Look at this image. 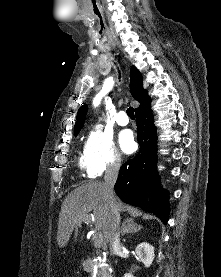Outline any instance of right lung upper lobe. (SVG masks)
<instances>
[{
	"mask_svg": "<svg viewBox=\"0 0 221 277\" xmlns=\"http://www.w3.org/2000/svg\"><path fill=\"white\" fill-rule=\"evenodd\" d=\"M130 92L132 96L140 103V106L147 101L150 97L148 96L147 90L143 88L142 76L135 66L131 67L130 72ZM137 109V108H136ZM135 109V110H136ZM87 113V105H83L79 108L77 113V121L74 126V132H79L83 127L85 116Z\"/></svg>",
	"mask_w": 221,
	"mask_h": 277,
	"instance_id": "1",
	"label": "right lung upper lobe"
}]
</instances>
